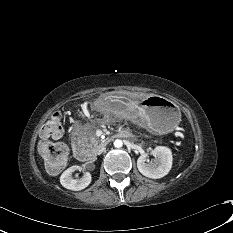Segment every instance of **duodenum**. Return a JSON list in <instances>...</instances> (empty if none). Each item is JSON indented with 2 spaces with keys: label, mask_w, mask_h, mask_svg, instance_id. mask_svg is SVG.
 Here are the masks:
<instances>
[{
  "label": "duodenum",
  "mask_w": 233,
  "mask_h": 233,
  "mask_svg": "<svg viewBox=\"0 0 233 233\" xmlns=\"http://www.w3.org/2000/svg\"><path fill=\"white\" fill-rule=\"evenodd\" d=\"M121 134L126 136L125 132H121ZM73 147L78 160L85 162L92 160L91 152L83 144L75 143Z\"/></svg>",
  "instance_id": "duodenum-1"
}]
</instances>
